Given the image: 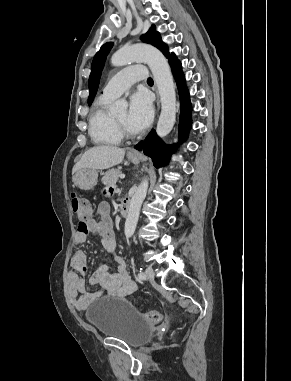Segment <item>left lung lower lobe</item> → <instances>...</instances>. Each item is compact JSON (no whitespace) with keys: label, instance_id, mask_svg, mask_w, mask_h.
<instances>
[{"label":"left lung lower lobe","instance_id":"0a47b994","mask_svg":"<svg viewBox=\"0 0 291 381\" xmlns=\"http://www.w3.org/2000/svg\"><path fill=\"white\" fill-rule=\"evenodd\" d=\"M168 60L179 90L181 102L179 132L181 140H184L187 137L189 129L191 128V104L189 93L185 86V78L181 71V63L174 54H171L168 57ZM135 148L143 151L145 155L151 157L155 167H160L167 164L173 151V147L165 145L156 135L154 130L150 132L144 141L137 144Z\"/></svg>","mask_w":291,"mask_h":381}]
</instances>
